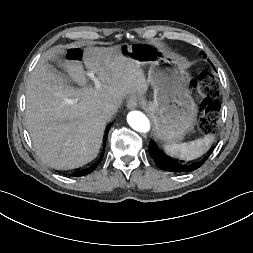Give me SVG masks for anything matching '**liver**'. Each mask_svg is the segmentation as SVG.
<instances>
[{
    "instance_id": "obj_1",
    "label": "liver",
    "mask_w": 253,
    "mask_h": 253,
    "mask_svg": "<svg viewBox=\"0 0 253 253\" xmlns=\"http://www.w3.org/2000/svg\"><path fill=\"white\" fill-rule=\"evenodd\" d=\"M64 54L63 46L49 49L35 66L26 90L27 130L38 157L55 169H72L95 159L109 119L104 106L119 107L125 96L148 90L140 64L119 45L83 51L85 68L97 76L99 89L88 85L81 61L58 59ZM49 60L57 62L80 88L51 73Z\"/></svg>"
}]
</instances>
